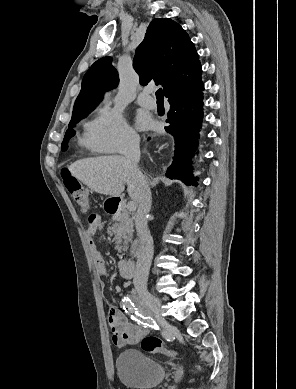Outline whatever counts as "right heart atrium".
<instances>
[{"label": "right heart atrium", "mask_w": 296, "mask_h": 389, "mask_svg": "<svg viewBox=\"0 0 296 389\" xmlns=\"http://www.w3.org/2000/svg\"><path fill=\"white\" fill-rule=\"evenodd\" d=\"M96 148L105 153H120L138 144L139 137L123 112L110 103L103 104L93 120Z\"/></svg>", "instance_id": "obj_1"}]
</instances>
